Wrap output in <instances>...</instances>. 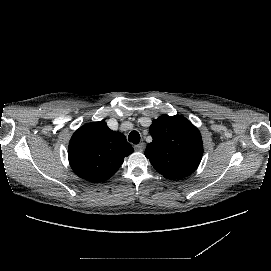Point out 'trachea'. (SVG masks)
Returning <instances> with one entry per match:
<instances>
[{
    "mask_svg": "<svg viewBox=\"0 0 271 271\" xmlns=\"http://www.w3.org/2000/svg\"><path fill=\"white\" fill-rule=\"evenodd\" d=\"M128 140L133 144H138L140 142V135L137 131H132L129 136Z\"/></svg>",
    "mask_w": 271,
    "mask_h": 271,
    "instance_id": "1",
    "label": "trachea"
}]
</instances>
